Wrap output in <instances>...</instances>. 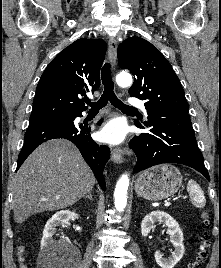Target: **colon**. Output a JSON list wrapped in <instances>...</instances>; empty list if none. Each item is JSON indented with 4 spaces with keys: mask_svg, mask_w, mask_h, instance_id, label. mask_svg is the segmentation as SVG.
<instances>
[{
    "mask_svg": "<svg viewBox=\"0 0 221 268\" xmlns=\"http://www.w3.org/2000/svg\"><path fill=\"white\" fill-rule=\"evenodd\" d=\"M202 221L205 226L209 225V215L207 212L202 214ZM211 245L210 235L205 233L203 236L201 243L199 245L198 253L194 261H192L189 265V268H200L202 263L204 262L205 258L208 255V251Z\"/></svg>",
    "mask_w": 221,
    "mask_h": 268,
    "instance_id": "1",
    "label": "colon"
}]
</instances>
